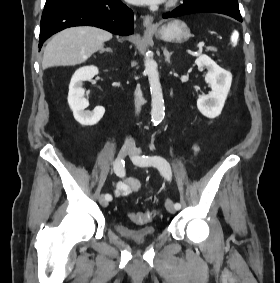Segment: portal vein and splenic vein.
I'll return each mask as SVG.
<instances>
[{
    "label": "portal vein and splenic vein",
    "mask_w": 280,
    "mask_h": 283,
    "mask_svg": "<svg viewBox=\"0 0 280 283\" xmlns=\"http://www.w3.org/2000/svg\"><path fill=\"white\" fill-rule=\"evenodd\" d=\"M205 44H204V42H200L199 44H198V48H201V47H203Z\"/></svg>",
    "instance_id": "18ae733b"
}]
</instances>
